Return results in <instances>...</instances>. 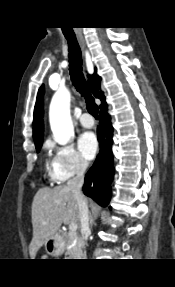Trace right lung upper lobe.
<instances>
[{
    "instance_id": "1",
    "label": "right lung upper lobe",
    "mask_w": 175,
    "mask_h": 287,
    "mask_svg": "<svg viewBox=\"0 0 175 287\" xmlns=\"http://www.w3.org/2000/svg\"><path fill=\"white\" fill-rule=\"evenodd\" d=\"M101 78L96 74V68L93 75H88V86L91 88L92 93L96 98L101 100L100 109L107 106L104 93L101 91L100 86ZM43 95L44 86L42 85L38 91L37 101L34 108L33 120V138L34 142L39 143L43 141Z\"/></svg>"
}]
</instances>
